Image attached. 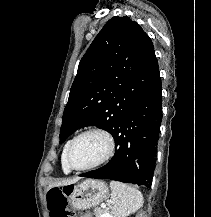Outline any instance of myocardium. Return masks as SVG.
<instances>
[{"instance_id":"obj_1","label":"myocardium","mask_w":211,"mask_h":217,"mask_svg":"<svg viewBox=\"0 0 211 217\" xmlns=\"http://www.w3.org/2000/svg\"><path fill=\"white\" fill-rule=\"evenodd\" d=\"M88 133H99V134L103 135L108 142V150H107L106 154L104 155V157L102 159H100L99 161H97L96 163L88 165V166H84V167H76L71 162L72 148L79 138H81L82 136H84ZM114 152H115V140H114L113 136L111 135V133L108 132L107 130L103 129V128H100V127H91V128L83 130L82 132L77 134L71 140V142L68 146V149H67V153H66V161H67V164L71 170L86 171V170L95 169V168L100 167V166L104 165L105 163H107L113 157Z\"/></svg>"}]
</instances>
